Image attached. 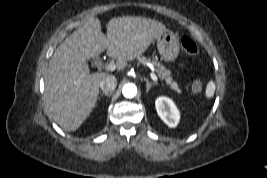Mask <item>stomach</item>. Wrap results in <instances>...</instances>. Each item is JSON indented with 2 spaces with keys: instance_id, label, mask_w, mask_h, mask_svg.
Instances as JSON below:
<instances>
[{
  "instance_id": "0dacf381",
  "label": "stomach",
  "mask_w": 267,
  "mask_h": 178,
  "mask_svg": "<svg viewBox=\"0 0 267 178\" xmlns=\"http://www.w3.org/2000/svg\"><path fill=\"white\" fill-rule=\"evenodd\" d=\"M157 48L161 57L166 61H174L180 52V43L176 34L165 30L157 36Z\"/></svg>"
}]
</instances>
